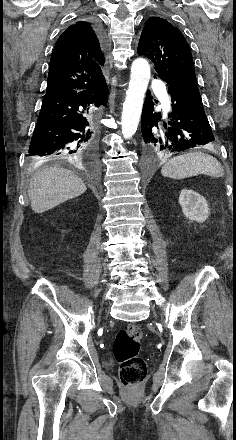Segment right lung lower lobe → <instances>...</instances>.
Wrapping results in <instances>:
<instances>
[{
  "label": "right lung lower lobe",
  "instance_id": "1",
  "mask_svg": "<svg viewBox=\"0 0 236 440\" xmlns=\"http://www.w3.org/2000/svg\"><path fill=\"white\" fill-rule=\"evenodd\" d=\"M94 27L105 48L101 29ZM107 99L105 79L84 90L45 94L29 147L30 159L36 163L67 161L93 172L98 148L97 115Z\"/></svg>",
  "mask_w": 236,
  "mask_h": 440
}]
</instances>
